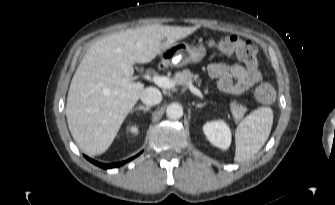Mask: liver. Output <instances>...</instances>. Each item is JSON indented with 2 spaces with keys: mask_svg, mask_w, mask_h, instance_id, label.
<instances>
[{
  "mask_svg": "<svg viewBox=\"0 0 335 205\" xmlns=\"http://www.w3.org/2000/svg\"><path fill=\"white\" fill-rule=\"evenodd\" d=\"M196 30L155 24L108 35L90 46L72 78L65 110L71 135L86 154L99 155L110 147L144 90L132 79L133 64L151 62Z\"/></svg>",
  "mask_w": 335,
  "mask_h": 205,
  "instance_id": "obj_1",
  "label": "liver"
}]
</instances>
